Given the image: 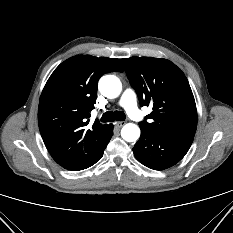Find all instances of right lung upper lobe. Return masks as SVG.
Instances as JSON below:
<instances>
[{
    "label": "right lung upper lobe",
    "mask_w": 233,
    "mask_h": 233,
    "mask_svg": "<svg viewBox=\"0 0 233 233\" xmlns=\"http://www.w3.org/2000/svg\"><path fill=\"white\" fill-rule=\"evenodd\" d=\"M122 72L119 59L73 56L48 79L39 102L38 124L53 159L68 170L90 167L99 153L108 126L95 120L88 126L96 103L97 84L109 72Z\"/></svg>",
    "instance_id": "cb5924a9"
}]
</instances>
